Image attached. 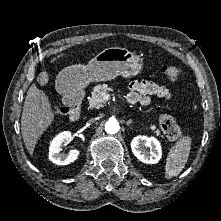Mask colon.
<instances>
[{
  "instance_id": "5ec220e1",
  "label": "colon",
  "mask_w": 221,
  "mask_h": 221,
  "mask_svg": "<svg viewBox=\"0 0 221 221\" xmlns=\"http://www.w3.org/2000/svg\"><path fill=\"white\" fill-rule=\"evenodd\" d=\"M161 72L163 77L170 82L178 81L182 74L181 68L176 64L164 66ZM67 112L68 109L65 107H57L53 109V115L55 118H62L67 114ZM160 126L163 133L169 140L175 141L183 136V129L169 114L164 113L161 115Z\"/></svg>"
}]
</instances>
